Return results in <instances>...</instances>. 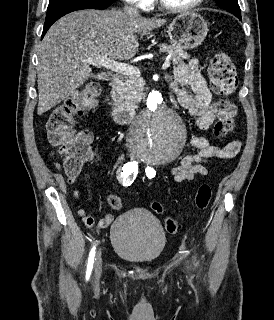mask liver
Masks as SVG:
<instances>
[{
	"label": "liver",
	"instance_id": "obj_1",
	"mask_svg": "<svg viewBox=\"0 0 274 320\" xmlns=\"http://www.w3.org/2000/svg\"><path fill=\"white\" fill-rule=\"evenodd\" d=\"M162 18H129L121 10H79L48 30L38 50V116H42L83 86L92 74L87 58L107 56L131 60L138 52L135 34L164 26Z\"/></svg>",
	"mask_w": 274,
	"mask_h": 320
}]
</instances>
